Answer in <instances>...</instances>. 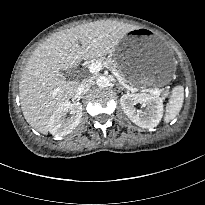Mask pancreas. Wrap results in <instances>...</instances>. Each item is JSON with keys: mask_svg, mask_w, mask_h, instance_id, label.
<instances>
[{"mask_svg": "<svg viewBox=\"0 0 205 205\" xmlns=\"http://www.w3.org/2000/svg\"><path fill=\"white\" fill-rule=\"evenodd\" d=\"M95 60L104 64L103 66L108 67L112 72H117L124 79L123 75L121 74L118 68L117 62L113 60L111 57L98 56L95 57Z\"/></svg>", "mask_w": 205, "mask_h": 205, "instance_id": "cf45deb5", "label": "pancreas"}]
</instances>
